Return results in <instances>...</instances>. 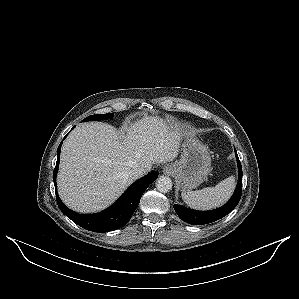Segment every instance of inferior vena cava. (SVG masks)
Wrapping results in <instances>:
<instances>
[{"label":"inferior vena cava","instance_id":"obj_1","mask_svg":"<svg viewBox=\"0 0 299 299\" xmlns=\"http://www.w3.org/2000/svg\"><path fill=\"white\" fill-rule=\"evenodd\" d=\"M146 172H147L146 169H144L142 167H137V168L130 170L129 175L132 179L136 180V179L142 177Z\"/></svg>","mask_w":299,"mask_h":299}]
</instances>
